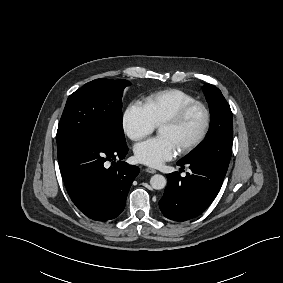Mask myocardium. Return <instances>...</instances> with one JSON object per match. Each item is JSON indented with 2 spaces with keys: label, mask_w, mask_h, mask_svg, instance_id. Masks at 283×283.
Wrapping results in <instances>:
<instances>
[{
  "label": "myocardium",
  "mask_w": 283,
  "mask_h": 283,
  "mask_svg": "<svg viewBox=\"0 0 283 283\" xmlns=\"http://www.w3.org/2000/svg\"><path fill=\"white\" fill-rule=\"evenodd\" d=\"M194 109H200L202 111L203 117H204L203 125H202V128L199 134L193 140L184 144L178 149L179 152L182 154H185V153H188L194 150L206 138L209 132V129H210V125H211V112L209 108L207 107V105L201 101L194 100L182 106L172 116L168 117L167 119H165L164 121L160 123V126L168 125L172 127H179Z\"/></svg>",
  "instance_id": "1"
}]
</instances>
